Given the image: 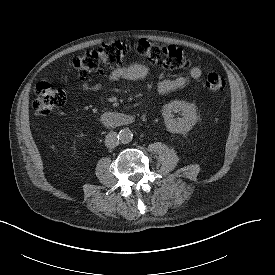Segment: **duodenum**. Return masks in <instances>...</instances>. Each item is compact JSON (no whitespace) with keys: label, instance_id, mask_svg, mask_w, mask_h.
Listing matches in <instances>:
<instances>
[{"label":"duodenum","instance_id":"410a0bca","mask_svg":"<svg viewBox=\"0 0 275 275\" xmlns=\"http://www.w3.org/2000/svg\"><path fill=\"white\" fill-rule=\"evenodd\" d=\"M100 121L106 127L117 128L133 124L135 118L131 115L107 111L101 115Z\"/></svg>","mask_w":275,"mask_h":275}]
</instances>
